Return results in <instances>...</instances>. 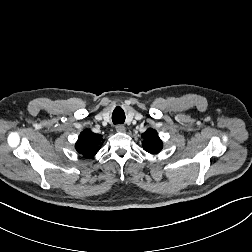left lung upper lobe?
<instances>
[{
	"label": "left lung upper lobe",
	"instance_id": "left-lung-upper-lobe-1",
	"mask_svg": "<svg viewBox=\"0 0 252 252\" xmlns=\"http://www.w3.org/2000/svg\"><path fill=\"white\" fill-rule=\"evenodd\" d=\"M142 137V146L145 151L152 154H156L161 151L163 145L156 130L149 128L142 134Z\"/></svg>",
	"mask_w": 252,
	"mask_h": 252
}]
</instances>
